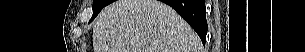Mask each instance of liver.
Masks as SVG:
<instances>
[{
	"instance_id": "6515ba94",
	"label": "liver",
	"mask_w": 305,
	"mask_h": 52,
	"mask_svg": "<svg viewBox=\"0 0 305 52\" xmlns=\"http://www.w3.org/2000/svg\"><path fill=\"white\" fill-rule=\"evenodd\" d=\"M94 52H200L201 41L170 6L158 0H118L93 26Z\"/></svg>"
}]
</instances>
